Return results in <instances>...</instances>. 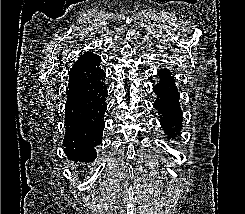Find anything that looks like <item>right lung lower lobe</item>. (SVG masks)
Returning <instances> with one entry per match:
<instances>
[{"mask_svg": "<svg viewBox=\"0 0 245 214\" xmlns=\"http://www.w3.org/2000/svg\"><path fill=\"white\" fill-rule=\"evenodd\" d=\"M79 61L80 57L69 72L63 146L70 160L92 162L97 156L94 147L101 143L105 127L107 86L103 70L95 80L83 83Z\"/></svg>", "mask_w": 245, "mask_h": 214, "instance_id": "98d812e1", "label": "right lung lower lobe"}]
</instances>
